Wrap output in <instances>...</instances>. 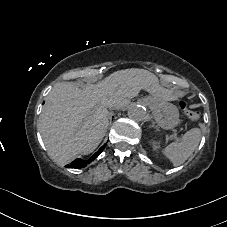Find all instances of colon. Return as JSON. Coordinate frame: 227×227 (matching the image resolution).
<instances>
[{"label":"colon","instance_id":"1","mask_svg":"<svg viewBox=\"0 0 227 227\" xmlns=\"http://www.w3.org/2000/svg\"><path fill=\"white\" fill-rule=\"evenodd\" d=\"M180 106L191 120H198L200 118V112L188 108L185 103H182Z\"/></svg>","mask_w":227,"mask_h":227}]
</instances>
